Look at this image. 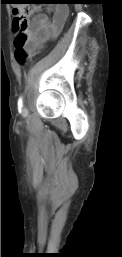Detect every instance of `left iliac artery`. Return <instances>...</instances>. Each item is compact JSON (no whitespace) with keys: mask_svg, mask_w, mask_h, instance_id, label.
<instances>
[{"mask_svg":"<svg viewBox=\"0 0 122 257\" xmlns=\"http://www.w3.org/2000/svg\"><path fill=\"white\" fill-rule=\"evenodd\" d=\"M22 107H23V99L22 97H20L18 100V108L21 109Z\"/></svg>","mask_w":122,"mask_h":257,"instance_id":"left-iliac-artery-1","label":"left iliac artery"}]
</instances>
